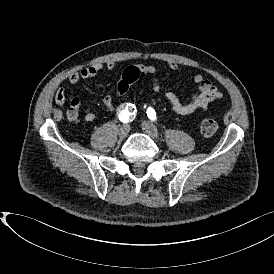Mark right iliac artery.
Instances as JSON below:
<instances>
[{
    "instance_id": "right-iliac-artery-1",
    "label": "right iliac artery",
    "mask_w": 274,
    "mask_h": 274,
    "mask_svg": "<svg viewBox=\"0 0 274 274\" xmlns=\"http://www.w3.org/2000/svg\"><path fill=\"white\" fill-rule=\"evenodd\" d=\"M136 107H132L130 106L129 109H128V106L126 107L125 110H122L120 113H119V120L123 123H127L129 121H132L134 118H135V110Z\"/></svg>"
}]
</instances>
